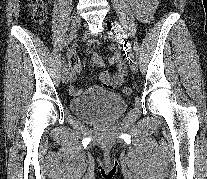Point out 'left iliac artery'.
Listing matches in <instances>:
<instances>
[{
	"label": "left iliac artery",
	"mask_w": 207,
	"mask_h": 179,
	"mask_svg": "<svg viewBox=\"0 0 207 179\" xmlns=\"http://www.w3.org/2000/svg\"><path fill=\"white\" fill-rule=\"evenodd\" d=\"M113 29L115 32H117V35L120 36V39L123 40V45L125 46V50L127 51L129 58H131V60H134V50L132 49L133 45L130 44V39L125 36V32L121 28L120 24L113 23Z\"/></svg>",
	"instance_id": "left-iliac-artery-1"
}]
</instances>
